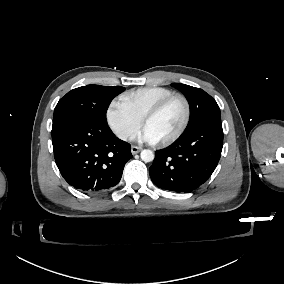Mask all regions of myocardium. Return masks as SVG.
Returning <instances> with one entry per match:
<instances>
[{"label":"myocardium","mask_w":284,"mask_h":284,"mask_svg":"<svg viewBox=\"0 0 284 284\" xmlns=\"http://www.w3.org/2000/svg\"><path fill=\"white\" fill-rule=\"evenodd\" d=\"M175 99H181L183 101L184 105H185L184 118L182 120L180 127L178 128V130L174 134H172L170 137H168L167 139H165L161 142H157V145H159L161 147L168 146V145L172 144L173 142H175L186 130V128L189 124V121H190V117H191V106H190V102L187 99V97L183 94H180V93H174L172 95H169L168 97H166L165 99H163L162 101L157 103L154 107L149 109L141 119V123H142V126H143L144 122H146V121L156 117L157 115H159Z\"/></svg>","instance_id":"obj_1"}]
</instances>
